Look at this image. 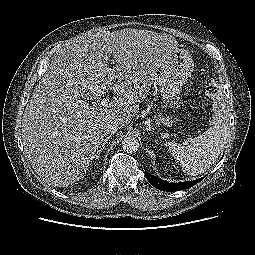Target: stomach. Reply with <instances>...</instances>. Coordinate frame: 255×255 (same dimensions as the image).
Instances as JSON below:
<instances>
[{
  "mask_svg": "<svg viewBox=\"0 0 255 255\" xmlns=\"http://www.w3.org/2000/svg\"><path fill=\"white\" fill-rule=\"evenodd\" d=\"M193 70V60L189 51L177 48L171 58L160 68L157 81L161 97L168 104L181 92ZM175 119V120H174ZM170 123L179 119L174 118Z\"/></svg>",
  "mask_w": 255,
  "mask_h": 255,
  "instance_id": "1",
  "label": "stomach"
}]
</instances>
